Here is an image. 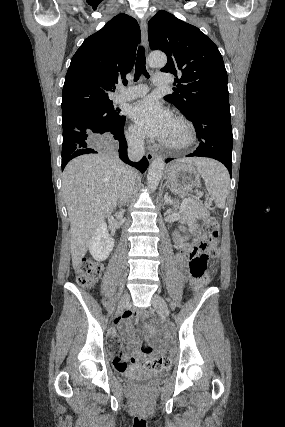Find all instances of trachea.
Segmentation results:
<instances>
[{"instance_id":"1","label":"trachea","mask_w":285,"mask_h":427,"mask_svg":"<svg viewBox=\"0 0 285 427\" xmlns=\"http://www.w3.org/2000/svg\"><path fill=\"white\" fill-rule=\"evenodd\" d=\"M146 61H145V50L144 47L140 46L137 51V59L135 65V75L134 80L137 81L141 74L149 78V74L146 70Z\"/></svg>"}]
</instances>
